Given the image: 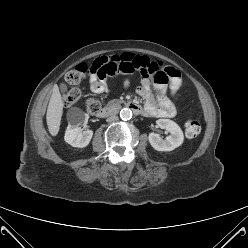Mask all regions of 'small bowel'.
Wrapping results in <instances>:
<instances>
[{"label":"small bowel","instance_id":"1","mask_svg":"<svg viewBox=\"0 0 248 248\" xmlns=\"http://www.w3.org/2000/svg\"><path fill=\"white\" fill-rule=\"evenodd\" d=\"M100 59L112 61L117 71L128 73L141 71L146 73L138 89V94L145 101L143 110L145 115L161 118H171L175 115V102L167 96V92L169 91L172 97H176L181 87L182 79L176 69L163 62L132 52H124ZM159 75H163L164 79L162 81L157 79ZM152 78L156 81L155 94H153L151 87ZM89 89L97 94H107L109 92L106 81L95 75L89 77Z\"/></svg>","mask_w":248,"mask_h":248}]
</instances>
